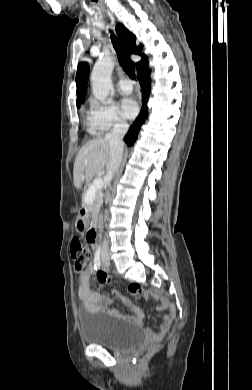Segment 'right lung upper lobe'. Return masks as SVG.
<instances>
[{
	"mask_svg": "<svg viewBox=\"0 0 252 390\" xmlns=\"http://www.w3.org/2000/svg\"><path fill=\"white\" fill-rule=\"evenodd\" d=\"M116 32L120 40L125 44L130 54L141 55L142 59L136 64L137 73L144 67L148 66L146 55L142 54L143 46H136V37L130 33L123 25L117 24ZM89 66L87 63H81L78 65L76 74V86H77V106L80 107L86 95V86L88 80Z\"/></svg>",
	"mask_w": 252,
	"mask_h": 390,
	"instance_id": "cb5924a9",
	"label": "right lung upper lobe"
}]
</instances>
